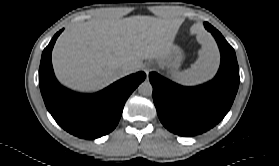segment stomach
Returning a JSON list of instances; mask_svg holds the SVG:
<instances>
[{
  "instance_id": "0dacf381",
  "label": "stomach",
  "mask_w": 279,
  "mask_h": 166,
  "mask_svg": "<svg viewBox=\"0 0 279 166\" xmlns=\"http://www.w3.org/2000/svg\"><path fill=\"white\" fill-rule=\"evenodd\" d=\"M183 59V51L178 46L172 44L170 49L158 59L157 63L160 67L167 69L171 74H176Z\"/></svg>"
}]
</instances>
